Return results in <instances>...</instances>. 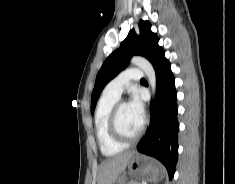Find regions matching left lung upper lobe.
Segmentation results:
<instances>
[{
  "mask_svg": "<svg viewBox=\"0 0 235 184\" xmlns=\"http://www.w3.org/2000/svg\"><path fill=\"white\" fill-rule=\"evenodd\" d=\"M150 27L151 24L148 21L140 20L139 35L134 29L130 30L120 47L105 60L96 77L91 99V113L104 86L127 67L133 55H141L151 61L158 47V37L151 32Z\"/></svg>",
  "mask_w": 235,
  "mask_h": 184,
  "instance_id": "left-lung-upper-lobe-1",
  "label": "left lung upper lobe"
}]
</instances>
